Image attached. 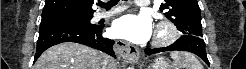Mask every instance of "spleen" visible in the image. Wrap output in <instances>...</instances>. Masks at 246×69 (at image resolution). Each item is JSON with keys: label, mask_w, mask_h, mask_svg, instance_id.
<instances>
[{"label": "spleen", "mask_w": 246, "mask_h": 69, "mask_svg": "<svg viewBox=\"0 0 246 69\" xmlns=\"http://www.w3.org/2000/svg\"><path fill=\"white\" fill-rule=\"evenodd\" d=\"M170 56L176 69H203L200 61L189 52L174 51Z\"/></svg>", "instance_id": "3e777b00"}]
</instances>
